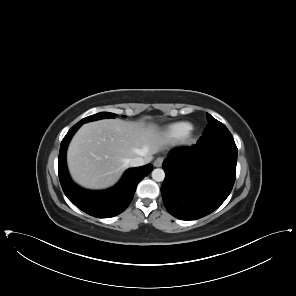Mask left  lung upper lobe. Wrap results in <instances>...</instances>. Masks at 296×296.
Listing matches in <instances>:
<instances>
[{
	"label": "left lung upper lobe",
	"instance_id": "left-lung-upper-lobe-1",
	"mask_svg": "<svg viewBox=\"0 0 296 296\" xmlns=\"http://www.w3.org/2000/svg\"><path fill=\"white\" fill-rule=\"evenodd\" d=\"M208 125L203 133V140L206 145L231 144L235 145L233 136L224 124L213 118L210 114H206Z\"/></svg>",
	"mask_w": 296,
	"mask_h": 296
}]
</instances>
